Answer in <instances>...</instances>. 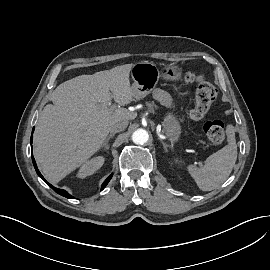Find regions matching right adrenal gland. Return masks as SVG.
Masks as SVG:
<instances>
[{"label":"right adrenal gland","instance_id":"right-adrenal-gland-1","mask_svg":"<svg viewBox=\"0 0 270 270\" xmlns=\"http://www.w3.org/2000/svg\"><path fill=\"white\" fill-rule=\"evenodd\" d=\"M115 135V133H111L109 134V136L106 138L105 142L103 143V145L101 146L102 149H104L105 151H107L109 149V140Z\"/></svg>","mask_w":270,"mask_h":270}]
</instances>
